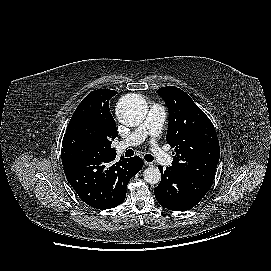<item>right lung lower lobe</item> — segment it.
<instances>
[{"mask_svg":"<svg viewBox=\"0 0 271 271\" xmlns=\"http://www.w3.org/2000/svg\"><path fill=\"white\" fill-rule=\"evenodd\" d=\"M66 178L78 196L89 206L110 209L120 205L126 197L130 179L143 166L138 157H121L83 151H62Z\"/></svg>","mask_w":271,"mask_h":271,"instance_id":"1","label":"right lung lower lobe"}]
</instances>
